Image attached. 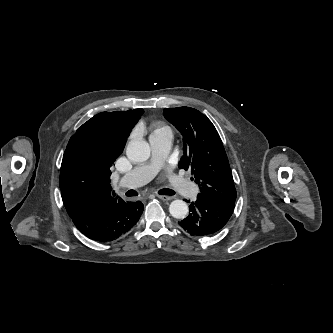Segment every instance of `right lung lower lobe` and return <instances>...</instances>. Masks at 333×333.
<instances>
[{
    "instance_id": "obj_1",
    "label": "right lung lower lobe",
    "mask_w": 333,
    "mask_h": 333,
    "mask_svg": "<svg viewBox=\"0 0 333 333\" xmlns=\"http://www.w3.org/2000/svg\"><path fill=\"white\" fill-rule=\"evenodd\" d=\"M143 212L140 201L120 202L107 205L90 215L73 218L77 229L88 238L98 242L117 239L128 232Z\"/></svg>"
}]
</instances>
